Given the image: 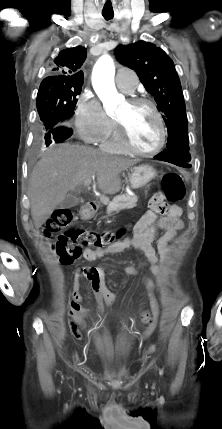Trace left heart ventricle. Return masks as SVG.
Instances as JSON below:
<instances>
[{"mask_svg":"<svg viewBox=\"0 0 222 429\" xmlns=\"http://www.w3.org/2000/svg\"><path fill=\"white\" fill-rule=\"evenodd\" d=\"M116 119L127 128L133 145L142 150H153L159 143V127L152 111L143 105L132 106L126 102Z\"/></svg>","mask_w":222,"mask_h":429,"instance_id":"left-heart-ventricle-1","label":"left heart ventricle"}]
</instances>
